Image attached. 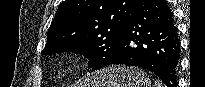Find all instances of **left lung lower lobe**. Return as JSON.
I'll list each match as a JSON object with an SVG mask.
<instances>
[{"instance_id":"left-lung-lower-lobe-1","label":"left lung lower lobe","mask_w":205,"mask_h":87,"mask_svg":"<svg viewBox=\"0 0 205 87\" xmlns=\"http://www.w3.org/2000/svg\"><path fill=\"white\" fill-rule=\"evenodd\" d=\"M179 58L177 28L167 1L137 0L116 54L103 67L115 64L142 67L157 75L168 87H176Z\"/></svg>"}]
</instances>
